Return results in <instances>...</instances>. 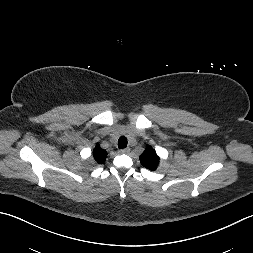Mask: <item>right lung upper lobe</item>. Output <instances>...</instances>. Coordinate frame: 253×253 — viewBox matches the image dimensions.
I'll list each match as a JSON object with an SVG mask.
<instances>
[{
    "label": "right lung upper lobe",
    "mask_w": 253,
    "mask_h": 253,
    "mask_svg": "<svg viewBox=\"0 0 253 253\" xmlns=\"http://www.w3.org/2000/svg\"><path fill=\"white\" fill-rule=\"evenodd\" d=\"M93 156L94 159L98 162V163H103L107 157V152L105 150H103L99 144L96 145L94 151H93Z\"/></svg>",
    "instance_id": "right-lung-upper-lobe-1"
}]
</instances>
